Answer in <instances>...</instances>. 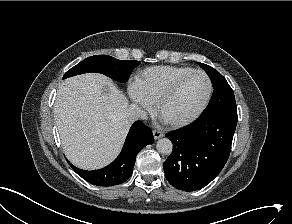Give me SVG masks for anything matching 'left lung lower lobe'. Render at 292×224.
I'll use <instances>...</instances> for the list:
<instances>
[{
    "label": "left lung lower lobe",
    "instance_id": "1",
    "mask_svg": "<svg viewBox=\"0 0 292 224\" xmlns=\"http://www.w3.org/2000/svg\"><path fill=\"white\" fill-rule=\"evenodd\" d=\"M237 120V106L230 105L165 134L173 143L163 165L168 182L183 191L208 185L227 162Z\"/></svg>",
    "mask_w": 292,
    "mask_h": 224
}]
</instances>
